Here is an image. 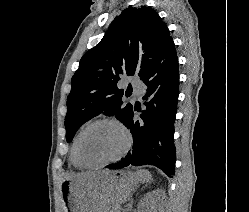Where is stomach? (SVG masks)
Instances as JSON below:
<instances>
[{
	"instance_id": "0dacf381",
	"label": "stomach",
	"mask_w": 249,
	"mask_h": 212,
	"mask_svg": "<svg viewBox=\"0 0 249 212\" xmlns=\"http://www.w3.org/2000/svg\"><path fill=\"white\" fill-rule=\"evenodd\" d=\"M134 189L128 170H86V175H72L60 184L67 212L110 210L105 204H125V199L109 198H129Z\"/></svg>"
}]
</instances>
